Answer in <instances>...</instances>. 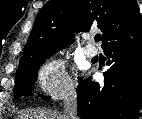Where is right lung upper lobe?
Listing matches in <instances>:
<instances>
[{"label": "right lung upper lobe", "instance_id": "cb5924a9", "mask_svg": "<svg viewBox=\"0 0 142 119\" xmlns=\"http://www.w3.org/2000/svg\"><path fill=\"white\" fill-rule=\"evenodd\" d=\"M93 26L103 33V49L141 33L136 0H50L36 17L19 67L65 48L74 41V32H86Z\"/></svg>", "mask_w": 142, "mask_h": 119}]
</instances>
